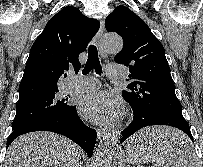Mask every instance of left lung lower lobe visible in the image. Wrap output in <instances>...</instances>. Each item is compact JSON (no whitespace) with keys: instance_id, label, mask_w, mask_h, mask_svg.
<instances>
[{"instance_id":"1","label":"left lung lower lobe","mask_w":203,"mask_h":167,"mask_svg":"<svg viewBox=\"0 0 203 167\" xmlns=\"http://www.w3.org/2000/svg\"><path fill=\"white\" fill-rule=\"evenodd\" d=\"M151 125H167L178 128L179 130L184 132L193 142L189 124L184 119L182 112H169L151 117H140L139 114L134 113L133 121L125 130H123L120 142L122 143L125 139H127L139 129ZM187 136H185L187 142L185 140L184 144H181V148L183 149L187 148L188 144L190 145V140L187 138ZM158 145V139L151 138V140L145 139L139 143L134 144L133 148L134 150L136 148H156Z\"/></svg>"}]
</instances>
